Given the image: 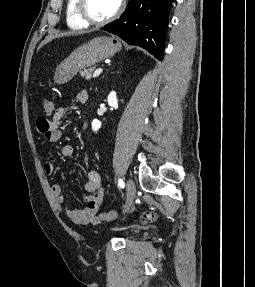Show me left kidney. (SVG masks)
<instances>
[{"mask_svg":"<svg viewBox=\"0 0 255 287\" xmlns=\"http://www.w3.org/2000/svg\"><path fill=\"white\" fill-rule=\"evenodd\" d=\"M107 100H108L109 106H111V108H116V110H117L118 100H117L116 92H111V94H109ZM99 128H101L100 120H93V122H92L93 132H98Z\"/></svg>","mask_w":255,"mask_h":287,"instance_id":"1","label":"left kidney"}]
</instances>
